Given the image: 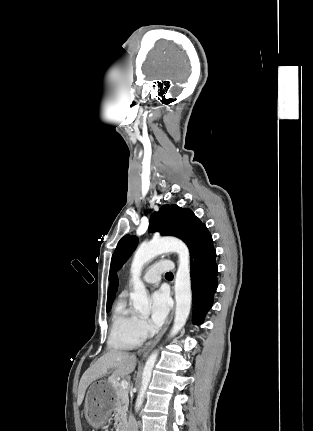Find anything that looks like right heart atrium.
<instances>
[{
    "mask_svg": "<svg viewBox=\"0 0 313 431\" xmlns=\"http://www.w3.org/2000/svg\"><path fill=\"white\" fill-rule=\"evenodd\" d=\"M136 331L143 338L147 336V334L149 333V326L147 322L139 316L137 317V320H136Z\"/></svg>",
    "mask_w": 313,
    "mask_h": 431,
    "instance_id": "right-heart-atrium-1",
    "label": "right heart atrium"
}]
</instances>
